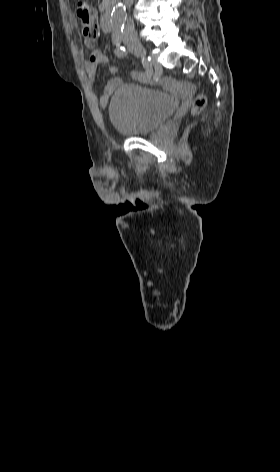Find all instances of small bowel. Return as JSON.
<instances>
[{
	"label": "small bowel",
	"mask_w": 280,
	"mask_h": 472,
	"mask_svg": "<svg viewBox=\"0 0 280 472\" xmlns=\"http://www.w3.org/2000/svg\"><path fill=\"white\" fill-rule=\"evenodd\" d=\"M107 63H108V58L100 50H95L89 55L88 59L84 63V69L91 84H96L98 81L99 66L103 64H107ZM109 72L111 74H116L118 72V67L115 65H111L109 67ZM134 78L138 79V74H135ZM157 83L162 88L176 94H189L193 90L191 86L184 83L177 82L173 78L167 77V76L159 78L157 80ZM120 84H121V80L117 78L110 79L104 84L103 91L100 97V106L103 109L106 108L109 102L110 96L113 94L115 89Z\"/></svg>",
	"instance_id": "1"
}]
</instances>
